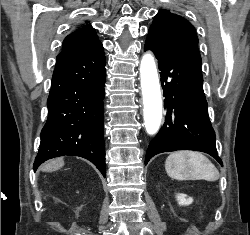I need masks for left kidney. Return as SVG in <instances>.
I'll list each match as a JSON object with an SVG mask.
<instances>
[{
    "label": "left kidney",
    "instance_id": "1",
    "mask_svg": "<svg viewBox=\"0 0 250 235\" xmlns=\"http://www.w3.org/2000/svg\"><path fill=\"white\" fill-rule=\"evenodd\" d=\"M179 205H190L193 202L191 197H188L186 194L179 193L176 196Z\"/></svg>",
    "mask_w": 250,
    "mask_h": 235
}]
</instances>
